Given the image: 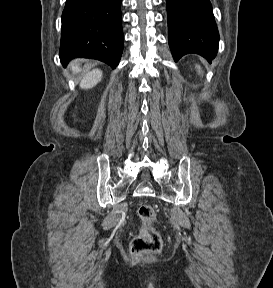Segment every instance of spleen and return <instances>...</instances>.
I'll use <instances>...</instances> for the list:
<instances>
[{
  "mask_svg": "<svg viewBox=\"0 0 273 288\" xmlns=\"http://www.w3.org/2000/svg\"><path fill=\"white\" fill-rule=\"evenodd\" d=\"M197 69H198V72L201 73V71H200V66H197Z\"/></svg>",
  "mask_w": 273,
  "mask_h": 288,
  "instance_id": "3e777b00",
  "label": "spleen"
}]
</instances>
